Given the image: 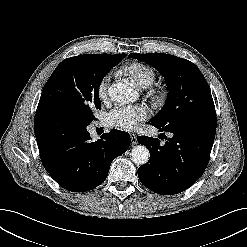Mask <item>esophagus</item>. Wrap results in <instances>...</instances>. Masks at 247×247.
<instances>
[{"mask_svg": "<svg viewBox=\"0 0 247 247\" xmlns=\"http://www.w3.org/2000/svg\"><path fill=\"white\" fill-rule=\"evenodd\" d=\"M130 137H131L132 145H136L137 144V136L134 133H130Z\"/></svg>", "mask_w": 247, "mask_h": 247, "instance_id": "1", "label": "esophagus"}]
</instances>
